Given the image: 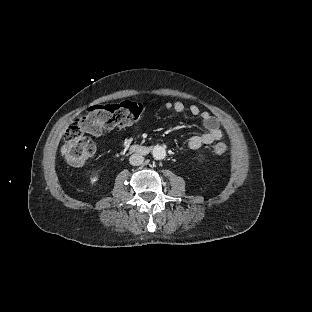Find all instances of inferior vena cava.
<instances>
[{
    "label": "inferior vena cava",
    "instance_id": "1",
    "mask_svg": "<svg viewBox=\"0 0 312 312\" xmlns=\"http://www.w3.org/2000/svg\"><path fill=\"white\" fill-rule=\"evenodd\" d=\"M129 162L133 166H139L144 162V157L140 154H132L129 158Z\"/></svg>",
    "mask_w": 312,
    "mask_h": 312
}]
</instances>
